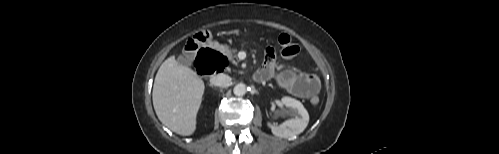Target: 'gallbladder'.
<instances>
[{
    "label": "gallbladder",
    "mask_w": 499,
    "mask_h": 154,
    "mask_svg": "<svg viewBox=\"0 0 499 154\" xmlns=\"http://www.w3.org/2000/svg\"><path fill=\"white\" fill-rule=\"evenodd\" d=\"M177 61L179 64L181 65H185V66H189L191 65L192 63V59L190 56H187V55H180L178 58H177Z\"/></svg>",
    "instance_id": "obj_1"
}]
</instances>
